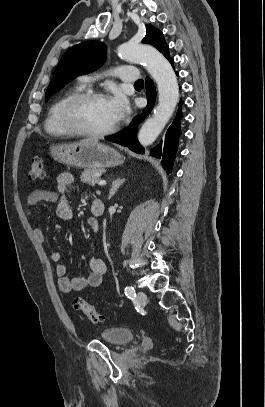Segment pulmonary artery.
I'll list each match as a JSON object with an SVG mask.
<instances>
[{
	"label": "pulmonary artery",
	"instance_id": "1",
	"mask_svg": "<svg viewBox=\"0 0 265 407\" xmlns=\"http://www.w3.org/2000/svg\"><path fill=\"white\" fill-rule=\"evenodd\" d=\"M115 75L123 82H137L138 71L134 66L122 65L115 70ZM95 80V75H83L79 81L83 86L90 85Z\"/></svg>",
	"mask_w": 265,
	"mask_h": 407
}]
</instances>
